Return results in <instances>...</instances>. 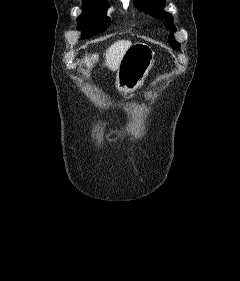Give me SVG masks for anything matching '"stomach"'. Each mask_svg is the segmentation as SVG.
Instances as JSON below:
<instances>
[{
    "instance_id": "1",
    "label": "stomach",
    "mask_w": 240,
    "mask_h": 281,
    "mask_svg": "<svg viewBox=\"0 0 240 281\" xmlns=\"http://www.w3.org/2000/svg\"><path fill=\"white\" fill-rule=\"evenodd\" d=\"M154 51L141 42L129 47L119 65L115 86L119 94L128 98L148 75L153 62Z\"/></svg>"
}]
</instances>
